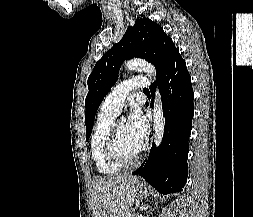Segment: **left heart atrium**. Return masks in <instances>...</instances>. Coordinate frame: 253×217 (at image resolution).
<instances>
[{
  "instance_id": "left-heart-atrium-1",
  "label": "left heart atrium",
  "mask_w": 253,
  "mask_h": 217,
  "mask_svg": "<svg viewBox=\"0 0 253 217\" xmlns=\"http://www.w3.org/2000/svg\"><path fill=\"white\" fill-rule=\"evenodd\" d=\"M126 125L131 134L143 143L147 135L148 123L140 108L137 106L132 108Z\"/></svg>"
}]
</instances>
